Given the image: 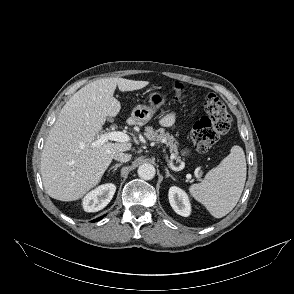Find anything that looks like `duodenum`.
Instances as JSON below:
<instances>
[{"instance_id":"duodenum-1","label":"duodenum","mask_w":294,"mask_h":294,"mask_svg":"<svg viewBox=\"0 0 294 294\" xmlns=\"http://www.w3.org/2000/svg\"><path fill=\"white\" fill-rule=\"evenodd\" d=\"M130 122H131L130 120L127 121L128 124H130Z\"/></svg>"}]
</instances>
